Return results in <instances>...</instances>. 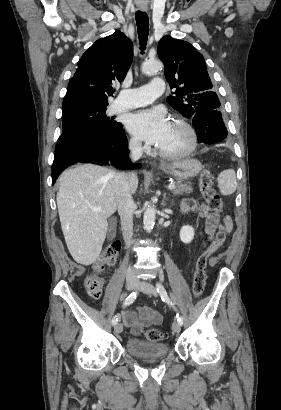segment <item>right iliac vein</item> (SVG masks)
<instances>
[{
    "label": "right iliac vein",
    "instance_id": "right-iliac-vein-1",
    "mask_svg": "<svg viewBox=\"0 0 281 410\" xmlns=\"http://www.w3.org/2000/svg\"><path fill=\"white\" fill-rule=\"evenodd\" d=\"M137 287V282L134 281H127L126 282V288L127 290L131 291ZM123 330V326L121 323H117L114 327V331L116 334H120Z\"/></svg>",
    "mask_w": 281,
    "mask_h": 410
}]
</instances>
